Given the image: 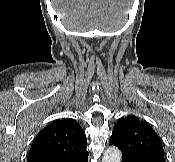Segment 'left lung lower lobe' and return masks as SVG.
<instances>
[{
  "instance_id": "1",
  "label": "left lung lower lobe",
  "mask_w": 175,
  "mask_h": 162,
  "mask_svg": "<svg viewBox=\"0 0 175 162\" xmlns=\"http://www.w3.org/2000/svg\"><path fill=\"white\" fill-rule=\"evenodd\" d=\"M122 162H124V161H122ZM134 162H165V160H164V158H161V157L151 156V157L140 158Z\"/></svg>"
}]
</instances>
